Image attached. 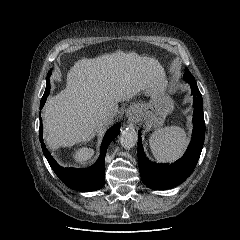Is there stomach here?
Wrapping results in <instances>:
<instances>
[{
	"mask_svg": "<svg viewBox=\"0 0 240 240\" xmlns=\"http://www.w3.org/2000/svg\"><path fill=\"white\" fill-rule=\"evenodd\" d=\"M165 91V81L148 88L150 101L138 105V117L144 120L148 129L162 126L166 116L174 109L173 100Z\"/></svg>",
	"mask_w": 240,
	"mask_h": 240,
	"instance_id": "0dacf381",
	"label": "stomach"
}]
</instances>
